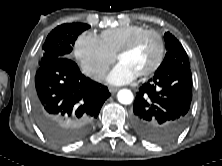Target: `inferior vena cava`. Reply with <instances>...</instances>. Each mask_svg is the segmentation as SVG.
Returning a JSON list of instances; mask_svg holds the SVG:
<instances>
[{
	"label": "inferior vena cava",
	"mask_w": 222,
	"mask_h": 166,
	"mask_svg": "<svg viewBox=\"0 0 222 166\" xmlns=\"http://www.w3.org/2000/svg\"><path fill=\"white\" fill-rule=\"evenodd\" d=\"M106 71H107V69H105V68L98 69V70L93 71L90 74V76L92 78H94L95 80L100 81V80H102L104 78Z\"/></svg>",
	"instance_id": "602c4592"
}]
</instances>
